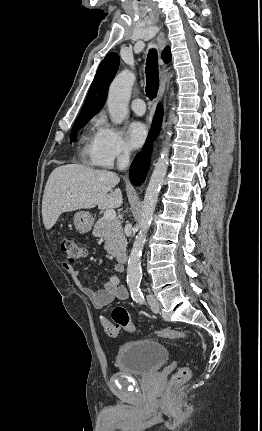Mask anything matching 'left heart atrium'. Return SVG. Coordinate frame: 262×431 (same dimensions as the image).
<instances>
[{"label":"left heart atrium","mask_w":262,"mask_h":431,"mask_svg":"<svg viewBox=\"0 0 262 431\" xmlns=\"http://www.w3.org/2000/svg\"><path fill=\"white\" fill-rule=\"evenodd\" d=\"M147 137V128L145 124L139 121L132 122L127 131L128 143L133 149L140 148Z\"/></svg>","instance_id":"obj_1"}]
</instances>
